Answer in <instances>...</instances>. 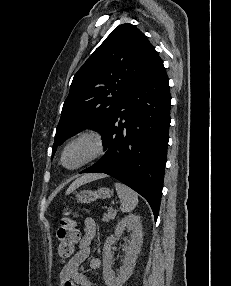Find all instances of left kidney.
<instances>
[{
	"instance_id": "obj_1",
	"label": "left kidney",
	"mask_w": 231,
	"mask_h": 286,
	"mask_svg": "<svg viewBox=\"0 0 231 286\" xmlns=\"http://www.w3.org/2000/svg\"><path fill=\"white\" fill-rule=\"evenodd\" d=\"M132 231L129 246L126 249V256L123 265L115 273L112 270L111 247L116 239L125 231ZM143 243V232L141 217L137 214H130L121 219L116 225L114 235L106 239L103 248V279L107 286H123L131 276L136 265V260Z\"/></svg>"
}]
</instances>
